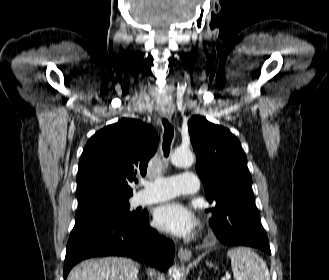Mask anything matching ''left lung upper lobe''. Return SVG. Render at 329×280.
Instances as JSON below:
<instances>
[{"instance_id":"1","label":"left lung upper lobe","mask_w":329,"mask_h":280,"mask_svg":"<svg viewBox=\"0 0 329 280\" xmlns=\"http://www.w3.org/2000/svg\"><path fill=\"white\" fill-rule=\"evenodd\" d=\"M191 143L197 154L196 171L203 182L217 235L226 217L238 204L251 198L252 178L239 140L227 129L195 115L188 121Z\"/></svg>"}]
</instances>
